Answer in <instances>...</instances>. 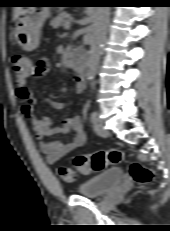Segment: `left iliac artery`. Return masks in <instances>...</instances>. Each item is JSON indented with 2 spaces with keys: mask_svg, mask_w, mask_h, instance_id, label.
Segmentation results:
<instances>
[{
  "mask_svg": "<svg viewBox=\"0 0 170 231\" xmlns=\"http://www.w3.org/2000/svg\"><path fill=\"white\" fill-rule=\"evenodd\" d=\"M87 107H90V103L89 102H87ZM97 118H98L97 113L94 112V111H92L91 112V117H90L91 123H94L97 120Z\"/></svg>",
  "mask_w": 170,
  "mask_h": 231,
  "instance_id": "44dca946",
  "label": "left iliac artery"
}]
</instances>
